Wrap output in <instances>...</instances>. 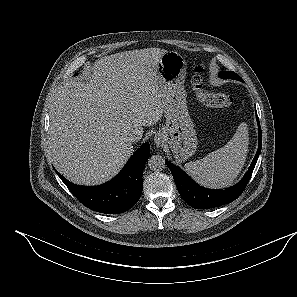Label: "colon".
Masks as SVG:
<instances>
[{"mask_svg": "<svg viewBox=\"0 0 297 297\" xmlns=\"http://www.w3.org/2000/svg\"><path fill=\"white\" fill-rule=\"evenodd\" d=\"M202 68H197L191 80V86L197 99L208 108L226 109L234 105L231 96L223 93H210L202 86Z\"/></svg>", "mask_w": 297, "mask_h": 297, "instance_id": "1", "label": "colon"}]
</instances>
